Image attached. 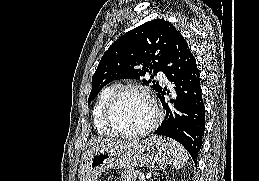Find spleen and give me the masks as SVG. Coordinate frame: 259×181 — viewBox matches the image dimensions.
<instances>
[{
    "label": "spleen",
    "instance_id": "3e777b00",
    "mask_svg": "<svg viewBox=\"0 0 259 181\" xmlns=\"http://www.w3.org/2000/svg\"><path fill=\"white\" fill-rule=\"evenodd\" d=\"M167 142L173 152V159L171 162L173 168L175 169L182 168L189 159L187 151L181 144H179L177 141L173 140L172 138H167Z\"/></svg>",
    "mask_w": 259,
    "mask_h": 181
}]
</instances>
